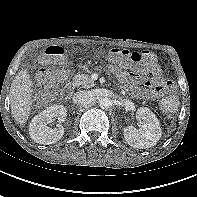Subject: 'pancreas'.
Instances as JSON below:
<instances>
[{"mask_svg":"<svg viewBox=\"0 0 197 197\" xmlns=\"http://www.w3.org/2000/svg\"><path fill=\"white\" fill-rule=\"evenodd\" d=\"M70 86L72 88L82 86L83 88L88 89L94 87L95 82L87 74H77L73 77Z\"/></svg>","mask_w":197,"mask_h":197,"instance_id":"1","label":"pancreas"}]
</instances>
